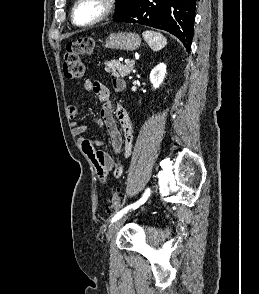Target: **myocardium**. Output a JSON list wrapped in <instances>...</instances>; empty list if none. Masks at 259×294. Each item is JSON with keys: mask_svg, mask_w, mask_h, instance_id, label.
I'll return each mask as SVG.
<instances>
[{"mask_svg": "<svg viewBox=\"0 0 259 294\" xmlns=\"http://www.w3.org/2000/svg\"><path fill=\"white\" fill-rule=\"evenodd\" d=\"M83 1L84 0H76L73 7H72V10H71V21L74 25H76L78 27H91V26H94V25L106 20L108 17H110L114 13L116 6H117L116 0H100V2L103 5V10H102L101 14L97 18H95L94 20L81 24L76 21V12H77L79 5Z\"/></svg>", "mask_w": 259, "mask_h": 294, "instance_id": "f54148a6", "label": "myocardium"}]
</instances>
